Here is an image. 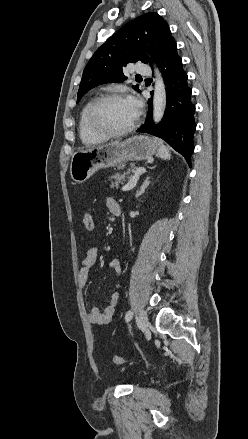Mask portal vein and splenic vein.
Masks as SVG:
<instances>
[{"label":"portal vein and splenic vein","mask_w":248,"mask_h":439,"mask_svg":"<svg viewBox=\"0 0 248 439\" xmlns=\"http://www.w3.org/2000/svg\"><path fill=\"white\" fill-rule=\"evenodd\" d=\"M145 168L139 167L136 169L134 176L132 177V179L125 185L122 187L123 191H129L131 190L133 187H135L139 176L143 173H145Z\"/></svg>","instance_id":"1"}]
</instances>
